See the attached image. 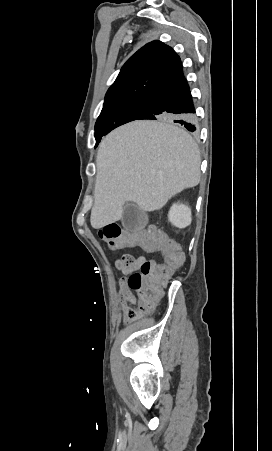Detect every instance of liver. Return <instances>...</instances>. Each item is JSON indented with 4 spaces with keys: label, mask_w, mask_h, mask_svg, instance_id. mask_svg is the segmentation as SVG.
<instances>
[{
    "label": "liver",
    "mask_w": 272,
    "mask_h": 451,
    "mask_svg": "<svg viewBox=\"0 0 272 451\" xmlns=\"http://www.w3.org/2000/svg\"><path fill=\"white\" fill-rule=\"evenodd\" d=\"M200 152L192 136L172 120H140L116 128L99 144L91 226L123 216L125 202L160 210L185 188L198 186Z\"/></svg>",
    "instance_id": "liver-1"
}]
</instances>
